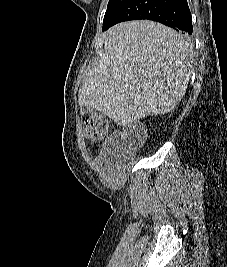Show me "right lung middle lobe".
<instances>
[{"instance_id":"obj_1","label":"right lung middle lobe","mask_w":227,"mask_h":267,"mask_svg":"<svg viewBox=\"0 0 227 267\" xmlns=\"http://www.w3.org/2000/svg\"><path fill=\"white\" fill-rule=\"evenodd\" d=\"M127 0H109L107 10L103 19V27L106 26L120 10Z\"/></svg>"}]
</instances>
